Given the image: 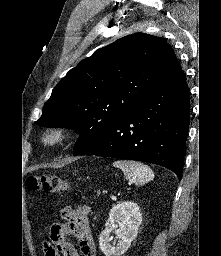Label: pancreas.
Here are the masks:
<instances>
[{"label": "pancreas", "instance_id": "pancreas-1", "mask_svg": "<svg viewBox=\"0 0 221 256\" xmlns=\"http://www.w3.org/2000/svg\"><path fill=\"white\" fill-rule=\"evenodd\" d=\"M100 194V192L99 191H97V195H99Z\"/></svg>", "mask_w": 221, "mask_h": 256}]
</instances>
